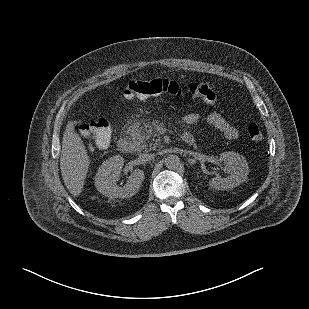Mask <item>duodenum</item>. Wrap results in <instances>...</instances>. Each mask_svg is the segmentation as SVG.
Instances as JSON below:
<instances>
[{
  "mask_svg": "<svg viewBox=\"0 0 309 309\" xmlns=\"http://www.w3.org/2000/svg\"><path fill=\"white\" fill-rule=\"evenodd\" d=\"M182 140L189 145L193 144L194 142V139L191 135H183ZM117 146L119 151L123 153H130L133 147L131 141L127 138H120L118 140Z\"/></svg>",
  "mask_w": 309,
  "mask_h": 309,
  "instance_id": "410a0bca",
  "label": "duodenum"
}]
</instances>
